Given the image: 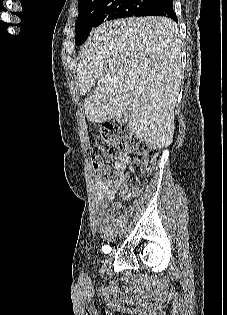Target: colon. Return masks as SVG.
<instances>
[{
  "mask_svg": "<svg viewBox=\"0 0 227 315\" xmlns=\"http://www.w3.org/2000/svg\"><path fill=\"white\" fill-rule=\"evenodd\" d=\"M97 145L101 151L92 158L95 173L102 179H110V160L121 150L133 155V162L145 171L154 168L157 150L139 138L131 130L120 123H110L102 127Z\"/></svg>",
  "mask_w": 227,
  "mask_h": 315,
  "instance_id": "colon-1",
  "label": "colon"
}]
</instances>
